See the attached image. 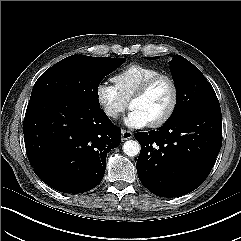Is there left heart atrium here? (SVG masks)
Returning <instances> with one entry per match:
<instances>
[{"label":"left heart atrium","instance_id":"obj_1","mask_svg":"<svg viewBox=\"0 0 241 241\" xmlns=\"http://www.w3.org/2000/svg\"><path fill=\"white\" fill-rule=\"evenodd\" d=\"M124 122L131 128H142L148 124L146 119L139 112L132 109L125 117Z\"/></svg>","mask_w":241,"mask_h":241}]
</instances>
